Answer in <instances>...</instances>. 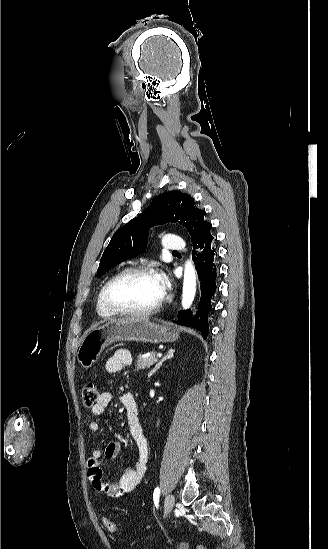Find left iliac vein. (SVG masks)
<instances>
[{"label": "left iliac vein", "mask_w": 328, "mask_h": 549, "mask_svg": "<svg viewBox=\"0 0 328 549\" xmlns=\"http://www.w3.org/2000/svg\"><path fill=\"white\" fill-rule=\"evenodd\" d=\"M174 505V497L171 493H168L165 497V515L169 514Z\"/></svg>", "instance_id": "4c4485c4"}]
</instances>
